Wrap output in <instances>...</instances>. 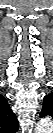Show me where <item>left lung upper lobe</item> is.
Returning <instances> with one entry per match:
<instances>
[{"instance_id":"1","label":"left lung upper lobe","mask_w":53,"mask_h":133,"mask_svg":"<svg viewBox=\"0 0 53 133\" xmlns=\"http://www.w3.org/2000/svg\"><path fill=\"white\" fill-rule=\"evenodd\" d=\"M41 117L50 115L53 116V96L48 95L44 98V105L41 111Z\"/></svg>"}]
</instances>
